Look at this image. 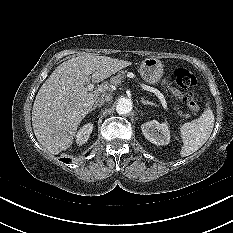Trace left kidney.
<instances>
[{"instance_id": "left-kidney-1", "label": "left kidney", "mask_w": 233, "mask_h": 233, "mask_svg": "<svg viewBox=\"0 0 233 233\" xmlns=\"http://www.w3.org/2000/svg\"><path fill=\"white\" fill-rule=\"evenodd\" d=\"M141 129L145 138L155 145H167L170 142L168 123L152 120L142 124Z\"/></svg>"}]
</instances>
